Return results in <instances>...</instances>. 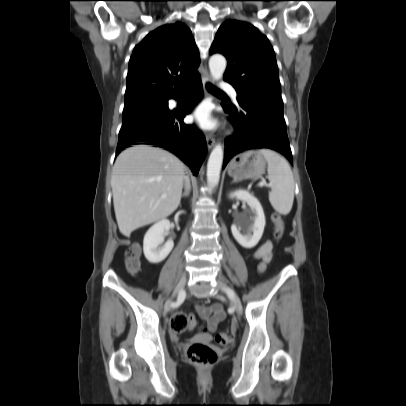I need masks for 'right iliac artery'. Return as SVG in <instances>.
I'll return each instance as SVG.
<instances>
[{
	"label": "right iliac artery",
	"instance_id": "right-iliac-artery-1",
	"mask_svg": "<svg viewBox=\"0 0 406 406\" xmlns=\"http://www.w3.org/2000/svg\"><path fill=\"white\" fill-rule=\"evenodd\" d=\"M182 295H183V292L181 291V292L179 293L177 302L173 303L172 306H177V305L181 302V300H182Z\"/></svg>",
	"mask_w": 406,
	"mask_h": 406
}]
</instances>
